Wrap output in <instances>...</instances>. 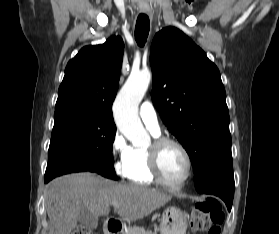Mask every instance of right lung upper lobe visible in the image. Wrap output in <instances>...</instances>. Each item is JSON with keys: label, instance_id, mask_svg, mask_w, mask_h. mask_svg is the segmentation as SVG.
I'll use <instances>...</instances> for the list:
<instances>
[{"label": "right lung upper lobe", "instance_id": "1", "mask_svg": "<svg viewBox=\"0 0 279 234\" xmlns=\"http://www.w3.org/2000/svg\"><path fill=\"white\" fill-rule=\"evenodd\" d=\"M123 40L112 36L104 44L83 47L65 69L55 114L83 112L113 120L123 59Z\"/></svg>", "mask_w": 279, "mask_h": 234}]
</instances>
